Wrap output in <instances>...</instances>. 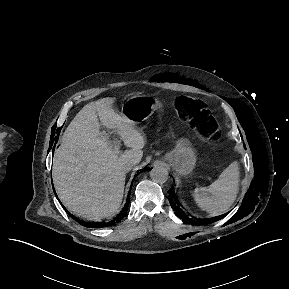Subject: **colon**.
<instances>
[{
	"label": "colon",
	"instance_id": "1",
	"mask_svg": "<svg viewBox=\"0 0 289 289\" xmlns=\"http://www.w3.org/2000/svg\"><path fill=\"white\" fill-rule=\"evenodd\" d=\"M176 107L199 134L207 139L216 137L211 114L201 100L181 96L176 99Z\"/></svg>",
	"mask_w": 289,
	"mask_h": 289
}]
</instances>
